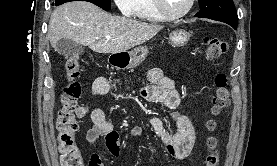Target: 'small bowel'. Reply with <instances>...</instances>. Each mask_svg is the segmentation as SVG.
Returning <instances> with one entry per match:
<instances>
[{
    "label": "small bowel",
    "mask_w": 277,
    "mask_h": 166,
    "mask_svg": "<svg viewBox=\"0 0 277 166\" xmlns=\"http://www.w3.org/2000/svg\"><path fill=\"white\" fill-rule=\"evenodd\" d=\"M147 78L150 85L142 88L141 97L148 102L160 103L166 108L173 110L172 116L175 121V131L169 133L160 117H153L151 126L170 156L177 160H186L194 147L196 136L191 120L175 111L180 105V94L175 88L174 82L166 77L160 69L150 70ZM114 84V81L106 77H99L94 80L91 93L94 96L106 95L112 90ZM88 112V107L82 106L78 108L77 115L84 117ZM90 117L93 125L86 133V141L89 144H94L99 138H104L108 151L113 156H119V135L107 120L104 111L100 107H95L91 111ZM141 135L142 128L140 126H135L130 130L131 138ZM90 164V166H104L101 155L93 153L90 158Z\"/></svg>",
    "instance_id": "obj_1"
}]
</instances>
